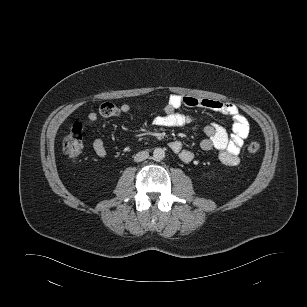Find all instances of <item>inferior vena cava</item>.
Instances as JSON below:
<instances>
[{
  "mask_svg": "<svg viewBox=\"0 0 307 307\" xmlns=\"http://www.w3.org/2000/svg\"><path fill=\"white\" fill-rule=\"evenodd\" d=\"M149 157V153L147 151H140L134 156L135 162H141L146 160Z\"/></svg>",
  "mask_w": 307,
  "mask_h": 307,
  "instance_id": "1",
  "label": "inferior vena cava"
}]
</instances>
